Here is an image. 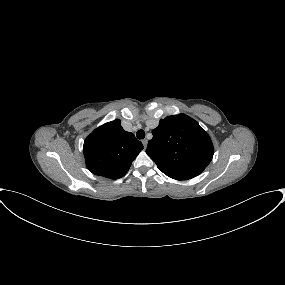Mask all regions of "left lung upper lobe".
<instances>
[{
  "mask_svg": "<svg viewBox=\"0 0 285 285\" xmlns=\"http://www.w3.org/2000/svg\"><path fill=\"white\" fill-rule=\"evenodd\" d=\"M152 134L146 153L170 178L191 179L212 160L214 150L209 135L185 114L161 119Z\"/></svg>",
  "mask_w": 285,
  "mask_h": 285,
  "instance_id": "obj_1",
  "label": "left lung upper lobe"
}]
</instances>
